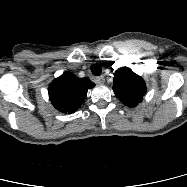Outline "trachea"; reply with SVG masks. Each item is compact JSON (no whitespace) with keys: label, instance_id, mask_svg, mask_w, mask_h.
Masks as SVG:
<instances>
[{"label":"trachea","instance_id":"obj_1","mask_svg":"<svg viewBox=\"0 0 187 187\" xmlns=\"http://www.w3.org/2000/svg\"><path fill=\"white\" fill-rule=\"evenodd\" d=\"M91 72H92L93 75L98 76V75L101 74L102 68H101V66L98 65V64H93V65L91 66Z\"/></svg>","mask_w":187,"mask_h":187}]
</instances>
